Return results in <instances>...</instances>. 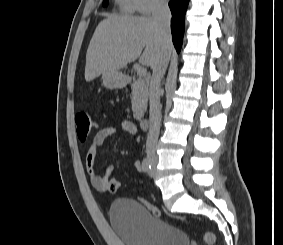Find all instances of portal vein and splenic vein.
<instances>
[{"instance_id": "obj_1", "label": "portal vein and splenic vein", "mask_w": 283, "mask_h": 245, "mask_svg": "<svg viewBox=\"0 0 283 245\" xmlns=\"http://www.w3.org/2000/svg\"><path fill=\"white\" fill-rule=\"evenodd\" d=\"M137 74L139 75V77H144L147 74V70L145 67L143 66H139L137 67Z\"/></svg>"}]
</instances>
